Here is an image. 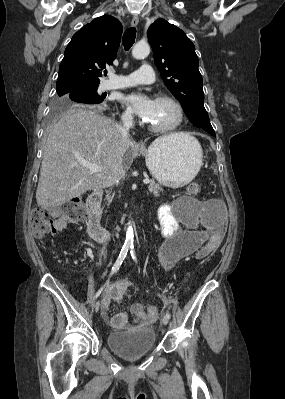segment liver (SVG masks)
<instances>
[{
    "mask_svg": "<svg viewBox=\"0 0 285 399\" xmlns=\"http://www.w3.org/2000/svg\"><path fill=\"white\" fill-rule=\"evenodd\" d=\"M182 135L190 136L173 133L164 138ZM133 149L119 124L91 110H68L49 130L36 190L38 206L56 208L89 190L112 186L130 168ZM83 163L102 170L91 172Z\"/></svg>",
    "mask_w": 285,
    "mask_h": 399,
    "instance_id": "6515ba94",
    "label": "liver"
}]
</instances>
